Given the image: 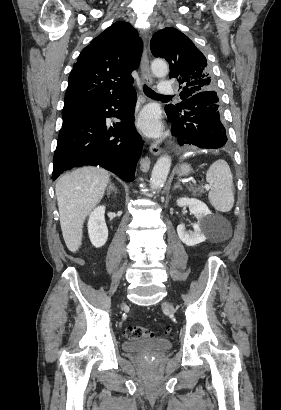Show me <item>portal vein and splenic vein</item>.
<instances>
[{
    "label": "portal vein and splenic vein",
    "instance_id": "obj_1",
    "mask_svg": "<svg viewBox=\"0 0 281 410\" xmlns=\"http://www.w3.org/2000/svg\"><path fill=\"white\" fill-rule=\"evenodd\" d=\"M205 188H206V189H209V185H205Z\"/></svg>",
    "mask_w": 281,
    "mask_h": 410
}]
</instances>
